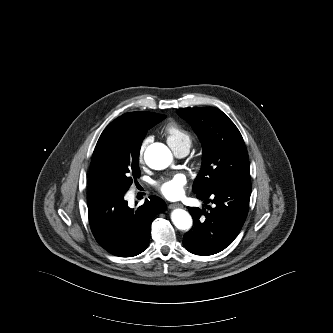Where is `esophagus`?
Here are the masks:
<instances>
[{"mask_svg": "<svg viewBox=\"0 0 333 333\" xmlns=\"http://www.w3.org/2000/svg\"><path fill=\"white\" fill-rule=\"evenodd\" d=\"M168 207H169V209L183 208V205L180 203H173V204H170Z\"/></svg>", "mask_w": 333, "mask_h": 333, "instance_id": "esophagus-1", "label": "esophagus"}]
</instances>
